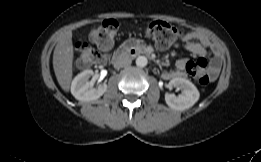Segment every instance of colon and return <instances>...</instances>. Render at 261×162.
<instances>
[{
    "label": "colon",
    "mask_w": 261,
    "mask_h": 162,
    "mask_svg": "<svg viewBox=\"0 0 261 162\" xmlns=\"http://www.w3.org/2000/svg\"><path fill=\"white\" fill-rule=\"evenodd\" d=\"M116 31L117 24L114 21H106L102 25L93 28L90 32V36L102 49H105L111 44V40ZM151 34L159 45H167L175 38L176 30L163 22H154L151 24ZM80 60L85 66L94 63L95 56L92 48L88 44L82 45ZM199 81L202 84H206L209 82V76L205 73H201L199 75Z\"/></svg>",
    "instance_id": "5ec220e1"
}]
</instances>
